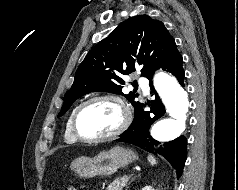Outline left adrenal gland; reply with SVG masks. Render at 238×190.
Returning a JSON list of instances; mask_svg holds the SVG:
<instances>
[{
	"instance_id": "left-adrenal-gland-1",
	"label": "left adrenal gland",
	"mask_w": 238,
	"mask_h": 190,
	"mask_svg": "<svg viewBox=\"0 0 238 190\" xmlns=\"http://www.w3.org/2000/svg\"><path fill=\"white\" fill-rule=\"evenodd\" d=\"M132 180H134V178H133ZM132 180H131V181H132ZM128 187H129V184H128V186H127L126 188H128Z\"/></svg>"
}]
</instances>
